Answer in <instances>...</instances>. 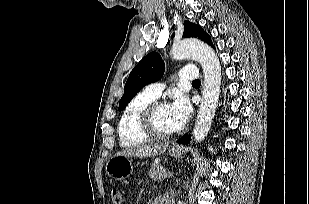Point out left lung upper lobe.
Here are the masks:
<instances>
[{
	"mask_svg": "<svg viewBox=\"0 0 309 204\" xmlns=\"http://www.w3.org/2000/svg\"><path fill=\"white\" fill-rule=\"evenodd\" d=\"M174 36V34H173ZM183 37L198 38L214 47L211 37L201 28L190 21L184 22ZM164 62L160 55L151 52L131 71L124 88V95L119 103V110H123L133 96L145 85L158 81L164 74Z\"/></svg>",
	"mask_w": 309,
	"mask_h": 204,
	"instance_id": "left-lung-upper-lobe-1",
	"label": "left lung upper lobe"
}]
</instances>
